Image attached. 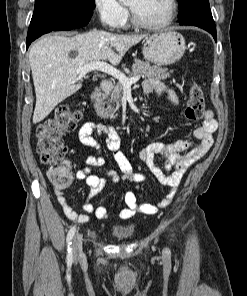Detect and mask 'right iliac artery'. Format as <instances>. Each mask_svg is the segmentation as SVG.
Returning a JSON list of instances; mask_svg holds the SVG:
<instances>
[{
    "label": "right iliac artery",
    "instance_id": "obj_1",
    "mask_svg": "<svg viewBox=\"0 0 247 296\" xmlns=\"http://www.w3.org/2000/svg\"><path fill=\"white\" fill-rule=\"evenodd\" d=\"M75 230H76V228H75V226H73L69 230V232L67 234V259L68 260L73 259V253H72V248H71V244H72L71 240H72V238H73V236L75 234Z\"/></svg>",
    "mask_w": 247,
    "mask_h": 296
}]
</instances>
